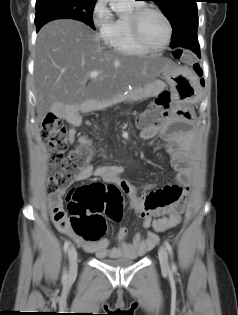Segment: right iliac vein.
Returning <instances> with one entry per match:
<instances>
[{"label": "right iliac vein", "instance_id": "1", "mask_svg": "<svg viewBox=\"0 0 238 315\" xmlns=\"http://www.w3.org/2000/svg\"><path fill=\"white\" fill-rule=\"evenodd\" d=\"M69 258V275L73 277L77 272V251L74 246H71L68 252Z\"/></svg>", "mask_w": 238, "mask_h": 315}]
</instances>
